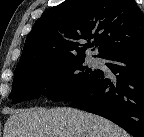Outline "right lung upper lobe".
I'll return each instance as SVG.
<instances>
[{
  "mask_svg": "<svg viewBox=\"0 0 144 137\" xmlns=\"http://www.w3.org/2000/svg\"><path fill=\"white\" fill-rule=\"evenodd\" d=\"M91 39L93 43L82 44ZM142 43L144 14L134 0H66L36 20L17 66L84 57L86 47L94 45L99 46L98 56L106 59Z\"/></svg>",
  "mask_w": 144,
  "mask_h": 137,
  "instance_id": "1",
  "label": "right lung upper lobe"
}]
</instances>
